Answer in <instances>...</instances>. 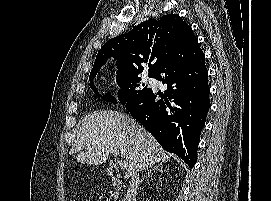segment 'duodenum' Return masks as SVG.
<instances>
[{
	"instance_id": "duodenum-1",
	"label": "duodenum",
	"mask_w": 271,
	"mask_h": 201,
	"mask_svg": "<svg viewBox=\"0 0 271 201\" xmlns=\"http://www.w3.org/2000/svg\"><path fill=\"white\" fill-rule=\"evenodd\" d=\"M112 186L113 188L117 191L120 192L123 189V183L117 179V178H113L111 180Z\"/></svg>"
}]
</instances>
